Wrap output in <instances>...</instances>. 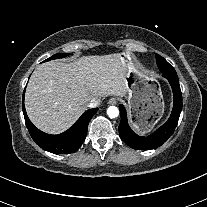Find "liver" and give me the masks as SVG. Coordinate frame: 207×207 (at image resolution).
<instances>
[{
    "label": "liver",
    "mask_w": 207,
    "mask_h": 207,
    "mask_svg": "<svg viewBox=\"0 0 207 207\" xmlns=\"http://www.w3.org/2000/svg\"><path fill=\"white\" fill-rule=\"evenodd\" d=\"M126 69L120 54L85 56L44 63L30 77L25 107L41 131L59 134L72 126L92 98L126 96Z\"/></svg>",
    "instance_id": "liver-1"
}]
</instances>
